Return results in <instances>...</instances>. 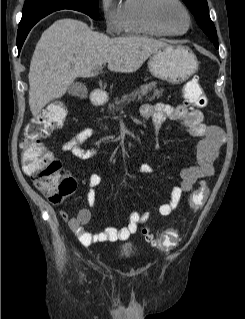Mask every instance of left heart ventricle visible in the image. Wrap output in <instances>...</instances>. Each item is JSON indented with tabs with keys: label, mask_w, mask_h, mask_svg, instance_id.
<instances>
[{
	"label": "left heart ventricle",
	"mask_w": 245,
	"mask_h": 319,
	"mask_svg": "<svg viewBox=\"0 0 245 319\" xmlns=\"http://www.w3.org/2000/svg\"><path fill=\"white\" fill-rule=\"evenodd\" d=\"M162 18L166 24L174 31H182L185 29L187 20L183 11L175 4H166L162 11Z\"/></svg>",
	"instance_id": "1"
}]
</instances>
